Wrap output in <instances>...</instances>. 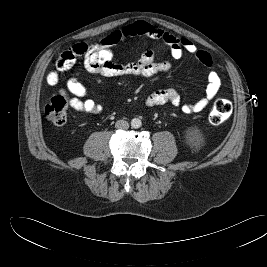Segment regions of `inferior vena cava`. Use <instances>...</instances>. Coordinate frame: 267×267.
<instances>
[{"label": "inferior vena cava", "mask_w": 267, "mask_h": 267, "mask_svg": "<svg viewBox=\"0 0 267 267\" xmlns=\"http://www.w3.org/2000/svg\"><path fill=\"white\" fill-rule=\"evenodd\" d=\"M115 127L117 129H123V130H126L129 128V123L125 120H118L116 123H115Z\"/></svg>", "instance_id": "1"}]
</instances>
